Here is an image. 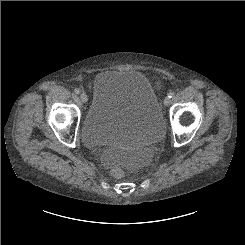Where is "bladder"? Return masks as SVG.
<instances>
[{
	"label": "bladder",
	"mask_w": 245,
	"mask_h": 245,
	"mask_svg": "<svg viewBox=\"0 0 245 245\" xmlns=\"http://www.w3.org/2000/svg\"><path fill=\"white\" fill-rule=\"evenodd\" d=\"M89 111L81 124L82 142L136 146L157 139L165 121L148 78L134 70H105L93 83Z\"/></svg>",
	"instance_id": "obj_1"
}]
</instances>
